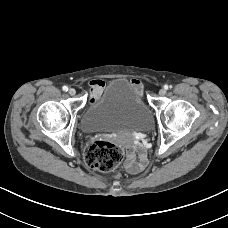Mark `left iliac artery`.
Listing matches in <instances>:
<instances>
[{"instance_id": "44dca946", "label": "left iliac artery", "mask_w": 228, "mask_h": 228, "mask_svg": "<svg viewBox=\"0 0 228 228\" xmlns=\"http://www.w3.org/2000/svg\"><path fill=\"white\" fill-rule=\"evenodd\" d=\"M168 88H169V87H168V85H164V89H166V90H167Z\"/></svg>"}]
</instances>
